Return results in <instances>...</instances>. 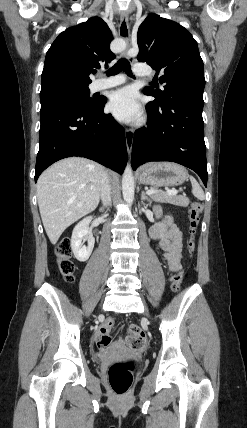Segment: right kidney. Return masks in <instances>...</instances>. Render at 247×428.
<instances>
[{
	"label": "right kidney",
	"mask_w": 247,
	"mask_h": 428,
	"mask_svg": "<svg viewBox=\"0 0 247 428\" xmlns=\"http://www.w3.org/2000/svg\"><path fill=\"white\" fill-rule=\"evenodd\" d=\"M91 220L92 217H86L75 226L72 232L71 248L75 258L80 262L87 261L94 248L95 239L89 231ZM85 240H87V246L82 244Z\"/></svg>",
	"instance_id": "1"
}]
</instances>
